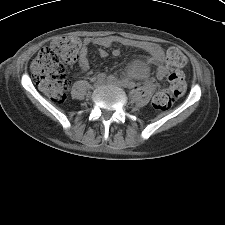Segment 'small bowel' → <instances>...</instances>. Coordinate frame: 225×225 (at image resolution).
Here are the masks:
<instances>
[{
	"mask_svg": "<svg viewBox=\"0 0 225 225\" xmlns=\"http://www.w3.org/2000/svg\"><path fill=\"white\" fill-rule=\"evenodd\" d=\"M92 43L100 46L98 50V54L100 57H106L108 52L105 48L110 47L114 43V39L106 37V38H89L86 37L82 40V47L79 51L78 55V65L81 73L86 72L89 69V61H88V46ZM140 48L148 53L149 55V64L152 65H160L162 63L163 53L161 48L154 43H144L140 46ZM114 57L120 56V50L115 49L112 52ZM130 74L134 77H142L147 74V68L145 65L137 66L130 70Z\"/></svg>",
	"mask_w": 225,
	"mask_h": 225,
	"instance_id": "obj_1",
	"label": "small bowel"
}]
</instances>
